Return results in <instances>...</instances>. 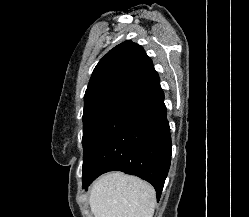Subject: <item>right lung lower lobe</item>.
Masks as SVG:
<instances>
[{"mask_svg":"<svg viewBox=\"0 0 249 217\" xmlns=\"http://www.w3.org/2000/svg\"><path fill=\"white\" fill-rule=\"evenodd\" d=\"M164 93L153 69L124 92L96 126L83 155V188L108 171L151 183L161 196L171 163V136Z\"/></svg>","mask_w":249,"mask_h":217,"instance_id":"obj_1","label":"right lung lower lobe"}]
</instances>
